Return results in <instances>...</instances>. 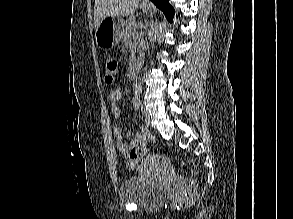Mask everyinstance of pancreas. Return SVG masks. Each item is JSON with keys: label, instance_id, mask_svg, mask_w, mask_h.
Returning <instances> with one entry per match:
<instances>
[{"label": "pancreas", "instance_id": "obj_1", "mask_svg": "<svg viewBox=\"0 0 293 219\" xmlns=\"http://www.w3.org/2000/svg\"><path fill=\"white\" fill-rule=\"evenodd\" d=\"M135 22H136L135 17H130L124 22L123 24V38L124 39L130 38L134 34Z\"/></svg>", "mask_w": 293, "mask_h": 219}]
</instances>
